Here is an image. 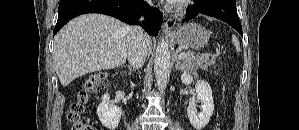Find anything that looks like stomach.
<instances>
[{"label": "stomach", "instance_id": "stomach-1", "mask_svg": "<svg viewBox=\"0 0 299 130\" xmlns=\"http://www.w3.org/2000/svg\"><path fill=\"white\" fill-rule=\"evenodd\" d=\"M171 37L180 46L199 50L207 45L210 34L198 23H186L172 32Z\"/></svg>", "mask_w": 299, "mask_h": 130}]
</instances>
